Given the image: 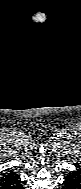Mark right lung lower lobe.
Returning <instances> with one entry per match:
<instances>
[{"mask_svg":"<svg viewBox=\"0 0 81 189\" xmlns=\"http://www.w3.org/2000/svg\"><path fill=\"white\" fill-rule=\"evenodd\" d=\"M1 189H24L19 175L9 171L0 178Z\"/></svg>","mask_w":81,"mask_h":189,"instance_id":"1","label":"right lung lower lobe"}]
</instances>
